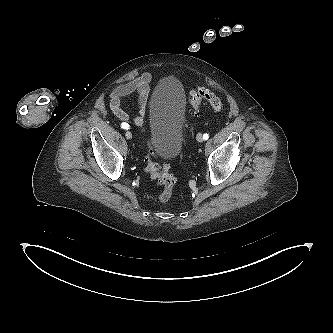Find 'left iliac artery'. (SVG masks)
Wrapping results in <instances>:
<instances>
[{
	"label": "left iliac artery",
	"mask_w": 333,
	"mask_h": 333,
	"mask_svg": "<svg viewBox=\"0 0 333 333\" xmlns=\"http://www.w3.org/2000/svg\"><path fill=\"white\" fill-rule=\"evenodd\" d=\"M208 138H209V134L205 133V134L203 135V139H204V140H207Z\"/></svg>",
	"instance_id": "obj_1"
}]
</instances>
